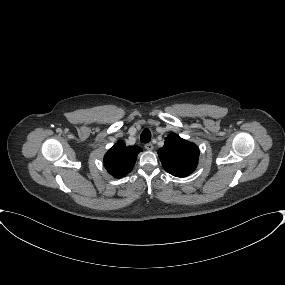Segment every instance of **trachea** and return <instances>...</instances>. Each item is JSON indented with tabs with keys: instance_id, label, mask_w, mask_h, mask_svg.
Wrapping results in <instances>:
<instances>
[{
	"instance_id": "3493384b",
	"label": "trachea",
	"mask_w": 285,
	"mask_h": 285,
	"mask_svg": "<svg viewBox=\"0 0 285 285\" xmlns=\"http://www.w3.org/2000/svg\"><path fill=\"white\" fill-rule=\"evenodd\" d=\"M140 140L142 143H149L151 140V132L148 128H145L141 135H140Z\"/></svg>"
}]
</instances>
